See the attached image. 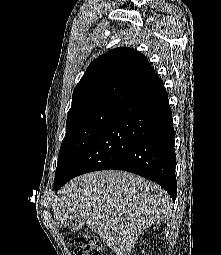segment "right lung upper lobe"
<instances>
[{"instance_id": "obj_1", "label": "right lung upper lobe", "mask_w": 221, "mask_h": 255, "mask_svg": "<svg viewBox=\"0 0 221 255\" xmlns=\"http://www.w3.org/2000/svg\"><path fill=\"white\" fill-rule=\"evenodd\" d=\"M158 79L147 58L137 50L112 49L88 66L74 89L68 116L102 105H121Z\"/></svg>"}]
</instances>
